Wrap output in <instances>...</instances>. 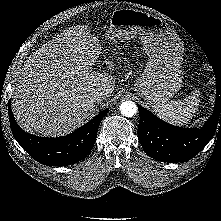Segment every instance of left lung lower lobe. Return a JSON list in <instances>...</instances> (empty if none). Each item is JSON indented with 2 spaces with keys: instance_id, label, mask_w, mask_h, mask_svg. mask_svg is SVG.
<instances>
[{
  "instance_id": "1",
  "label": "left lung lower lobe",
  "mask_w": 221,
  "mask_h": 221,
  "mask_svg": "<svg viewBox=\"0 0 221 221\" xmlns=\"http://www.w3.org/2000/svg\"><path fill=\"white\" fill-rule=\"evenodd\" d=\"M221 84L217 83L214 112L203 128L170 125L138 105V138L146 154L163 162H184L198 154L221 128ZM220 125V126H219Z\"/></svg>"
}]
</instances>
